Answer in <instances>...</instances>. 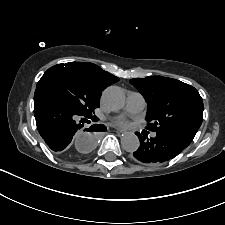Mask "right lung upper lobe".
I'll list each match as a JSON object with an SVG mask.
<instances>
[{
	"mask_svg": "<svg viewBox=\"0 0 225 225\" xmlns=\"http://www.w3.org/2000/svg\"><path fill=\"white\" fill-rule=\"evenodd\" d=\"M62 65L82 76L99 94L107 86L119 81L118 77L102 70L93 63L70 62Z\"/></svg>",
	"mask_w": 225,
	"mask_h": 225,
	"instance_id": "right-lung-upper-lobe-1",
	"label": "right lung upper lobe"
}]
</instances>
